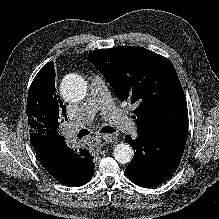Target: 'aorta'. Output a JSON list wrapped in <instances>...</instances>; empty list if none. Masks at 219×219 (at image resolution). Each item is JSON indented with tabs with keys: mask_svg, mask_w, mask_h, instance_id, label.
Masks as SVG:
<instances>
[{
	"mask_svg": "<svg viewBox=\"0 0 219 219\" xmlns=\"http://www.w3.org/2000/svg\"><path fill=\"white\" fill-rule=\"evenodd\" d=\"M60 90L66 101L78 102L85 97L87 84L81 76L70 75L63 79ZM113 155L117 162L126 164L132 161L134 152L129 144L121 142L114 147Z\"/></svg>",
	"mask_w": 219,
	"mask_h": 219,
	"instance_id": "obj_1",
	"label": "aorta"
}]
</instances>
